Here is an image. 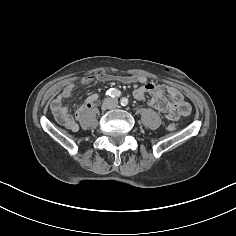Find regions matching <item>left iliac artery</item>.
Masks as SVG:
<instances>
[{
	"label": "left iliac artery",
	"mask_w": 236,
	"mask_h": 236,
	"mask_svg": "<svg viewBox=\"0 0 236 236\" xmlns=\"http://www.w3.org/2000/svg\"><path fill=\"white\" fill-rule=\"evenodd\" d=\"M120 104H121L122 106H126V105L128 104V99H127V98H121Z\"/></svg>",
	"instance_id": "obj_1"
}]
</instances>
